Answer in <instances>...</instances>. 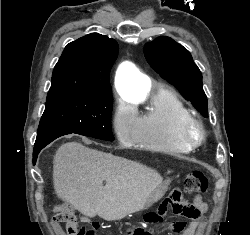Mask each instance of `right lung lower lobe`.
<instances>
[{
  "label": "right lung lower lobe",
  "mask_w": 250,
  "mask_h": 235,
  "mask_svg": "<svg viewBox=\"0 0 250 235\" xmlns=\"http://www.w3.org/2000/svg\"><path fill=\"white\" fill-rule=\"evenodd\" d=\"M66 134H71V133L67 131L55 130L37 135L36 142L34 145L33 163L34 164L36 163L38 153L40 152L41 149H43L46 145L51 143L56 138Z\"/></svg>",
  "instance_id": "right-lung-lower-lobe-1"
}]
</instances>
